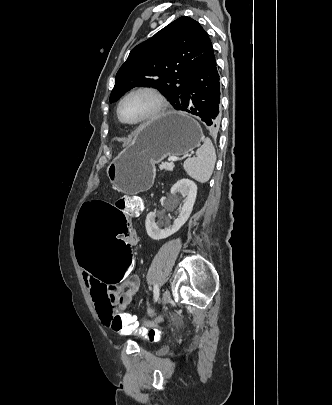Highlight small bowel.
<instances>
[{
  "instance_id": "c3829d8e",
  "label": "small bowel",
  "mask_w": 332,
  "mask_h": 405,
  "mask_svg": "<svg viewBox=\"0 0 332 405\" xmlns=\"http://www.w3.org/2000/svg\"><path fill=\"white\" fill-rule=\"evenodd\" d=\"M134 234L137 244L139 242V235L135 229ZM83 278L89 288L98 317L107 327H111L114 307L117 306L122 311L125 308L128 309L140 287V278L136 273L133 275V281L122 282V287H105V283L96 281V275H84V268ZM117 332L123 333V331Z\"/></svg>"
}]
</instances>
